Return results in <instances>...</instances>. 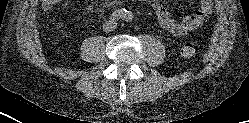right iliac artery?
<instances>
[{
    "label": "right iliac artery",
    "instance_id": "82829eb1",
    "mask_svg": "<svg viewBox=\"0 0 249 123\" xmlns=\"http://www.w3.org/2000/svg\"><path fill=\"white\" fill-rule=\"evenodd\" d=\"M126 10L125 9H119L114 11L111 15H110V19L111 20H118L120 18H124L125 14H126Z\"/></svg>",
    "mask_w": 249,
    "mask_h": 123
}]
</instances>
